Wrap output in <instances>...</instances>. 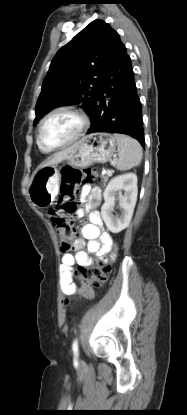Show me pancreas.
Listing matches in <instances>:
<instances>
[{
	"label": "pancreas",
	"instance_id": "pancreas-1",
	"mask_svg": "<svg viewBox=\"0 0 187 415\" xmlns=\"http://www.w3.org/2000/svg\"><path fill=\"white\" fill-rule=\"evenodd\" d=\"M111 175H112V173L110 172V173H107V175H106V176H102L104 185L106 184V182L108 181V178H109Z\"/></svg>",
	"mask_w": 187,
	"mask_h": 415
}]
</instances>
